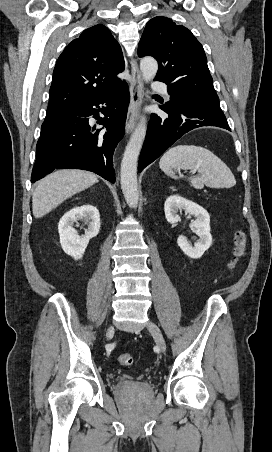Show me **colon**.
Instances as JSON below:
<instances>
[{
    "instance_id": "colon-1",
    "label": "colon",
    "mask_w": 272,
    "mask_h": 452,
    "mask_svg": "<svg viewBox=\"0 0 272 452\" xmlns=\"http://www.w3.org/2000/svg\"><path fill=\"white\" fill-rule=\"evenodd\" d=\"M235 247L233 250V259L230 263V267H234L238 260L245 255L247 240L243 232H237L234 238ZM118 361L121 365L131 366L134 359L131 354H121L118 357Z\"/></svg>"
}]
</instances>
